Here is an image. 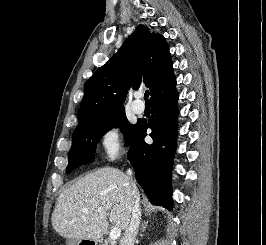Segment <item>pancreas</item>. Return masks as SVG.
Listing matches in <instances>:
<instances>
[{
    "label": "pancreas",
    "mask_w": 266,
    "mask_h": 245,
    "mask_svg": "<svg viewBox=\"0 0 266 245\" xmlns=\"http://www.w3.org/2000/svg\"><path fill=\"white\" fill-rule=\"evenodd\" d=\"M104 245H109L108 241H105Z\"/></svg>",
    "instance_id": "1"
}]
</instances>
